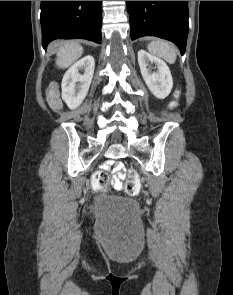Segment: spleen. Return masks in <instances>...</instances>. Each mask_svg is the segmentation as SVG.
Listing matches in <instances>:
<instances>
[{
  "instance_id": "spleen-1",
  "label": "spleen",
  "mask_w": 233,
  "mask_h": 295,
  "mask_svg": "<svg viewBox=\"0 0 233 295\" xmlns=\"http://www.w3.org/2000/svg\"><path fill=\"white\" fill-rule=\"evenodd\" d=\"M148 50L164 58L169 63H174L176 60V50L168 42L163 40L152 41L148 45Z\"/></svg>"
}]
</instances>
